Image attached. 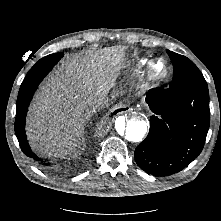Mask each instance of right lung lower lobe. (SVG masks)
<instances>
[{"instance_id": "98d812e1", "label": "right lung lower lobe", "mask_w": 221, "mask_h": 221, "mask_svg": "<svg viewBox=\"0 0 221 221\" xmlns=\"http://www.w3.org/2000/svg\"><path fill=\"white\" fill-rule=\"evenodd\" d=\"M62 56L63 53H55L40 59L24 78L17 98L15 133L19 141V145L25 155L39 162V164L45 168L53 167L54 163L47 160H42L32 152L25 135V117L29 103L39 83Z\"/></svg>"}]
</instances>
